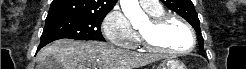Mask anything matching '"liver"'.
Returning <instances> with one entry per match:
<instances>
[{
    "label": "liver",
    "mask_w": 246,
    "mask_h": 69,
    "mask_svg": "<svg viewBox=\"0 0 246 69\" xmlns=\"http://www.w3.org/2000/svg\"><path fill=\"white\" fill-rule=\"evenodd\" d=\"M48 56L63 69H135L159 59L154 54L136 53L99 41L71 39L57 40L42 49L36 58L38 67Z\"/></svg>",
    "instance_id": "6515ba94"
}]
</instances>
